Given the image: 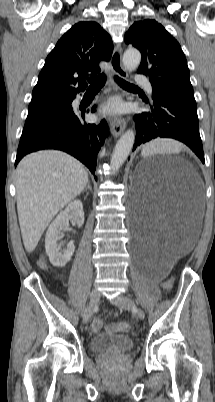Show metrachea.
I'll use <instances>...</instances> for the list:
<instances>
[{"mask_svg":"<svg viewBox=\"0 0 215 402\" xmlns=\"http://www.w3.org/2000/svg\"><path fill=\"white\" fill-rule=\"evenodd\" d=\"M115 81L123 88H137V86L126 82L118 76H115ZM88 82L90 83L89 89H101L106 82V76L105 74H100L98 76L88 78Z\"/></svg>","mask_w":215,"mask_h":402,"instance_id":"1","label":"trachea"}]
</instances>
